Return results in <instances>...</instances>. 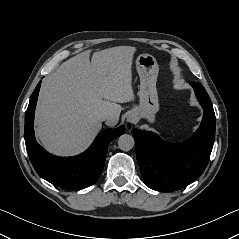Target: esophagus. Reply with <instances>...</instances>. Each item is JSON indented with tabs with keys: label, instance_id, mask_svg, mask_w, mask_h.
I'll return each mask as SVG.
<instances>
[{
	"label": "esophagus",
	"instance_id": "1",
	"mask_svg": "<svg viewBox=\"0 0 239 239\" xmlns=\"http://www.w3.org/2000/svg\"><path fill=\"white\" fill-rule=\"evenodd\" d=\"M127 121L133 123L135 121V119L132 116H130V117H128Z\"/></svg>",
	"mask_w": 239,
	"mask_h": 239
}]
</instances>
